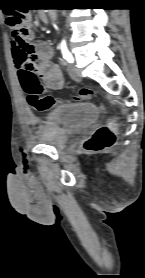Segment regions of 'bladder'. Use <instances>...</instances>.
<instances>
[{
    "label": "bladder",
    "instance_id": "bladder-1",
    "mask_svg": "<svg viewBox=\"0 0 145 278\" xmlns=\"http://www.w3.org/2000/svg\"><path fill=\"white\" fill-rule=\"evenodd\" d=\"M98 116V108L91 103L56 105L43 119L36 140L41 145L64 147L72 136L82 134L93 126Z\"/></svg>",
    "mask_w": 145,
    "mask_h": 278
}]
</instances>
